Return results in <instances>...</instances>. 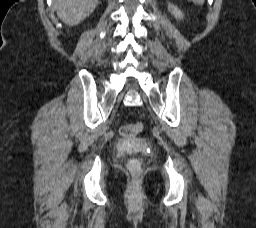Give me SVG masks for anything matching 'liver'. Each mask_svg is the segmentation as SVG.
<instances>
[{
	"mask_svg": "<svg viewBox=\"0 0 256 228\" xmlns=\"http://www.w3.org/2000/svg\"><path fill=\"white\" fill-rule=\"evenodd\" d=\"M97 4L98 0H54L58 16L69 26H75L87 18Z\"/></svg>",
	"mask_w": 256,
	"mask_h": 228,
	"instance_id": "liver-1",
	"label": "liver"
}]
</instances>
